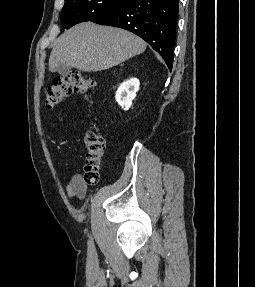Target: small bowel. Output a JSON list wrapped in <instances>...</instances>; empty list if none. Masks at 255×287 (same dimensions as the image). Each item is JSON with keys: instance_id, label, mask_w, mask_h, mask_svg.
<instances>
[{"instance_id": "small-bowel-1", "label": "small bowel", "mask_w": 255, "mask_h": 287, "mask_svg": "<svg viewBox=\"0 0 255 287\" xmlns=\"http://www.w3.org/2000/svg\"><path fill=\"white\" fill-rule=\"evenodd\" d=\"M86 191L87 183L81 175H74L66 188L67 196L70 199H81L85 196Z\"/></svg>"}]
</instances>
